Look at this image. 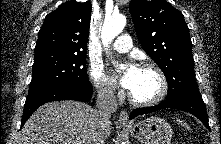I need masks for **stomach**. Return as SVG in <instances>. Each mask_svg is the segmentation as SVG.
Masks as SVG:
<instances>
[{"instance_id":"stomach-1","label":"stomach","mask_w":221,"mask_h":144,"mask_svg":"<svg viewBox=\"0 0 221 144\" xmlns=\"http://www.w3.org/2000/svg\"><path fill=\"white\" fill-rule=\"evenodd\" d=\"M125 128L132 137L144 144H169L173 134L171 125L158 116L148 117Z\"/></svg>"}]
</instances>
